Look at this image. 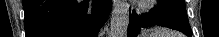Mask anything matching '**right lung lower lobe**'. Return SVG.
<instances>
[{"mask_svg": "<svg viewBox=\"0 0 219 37\" xmlns=\"http://www.w3.org/2000/svg\"><path fill=\"white\" fill-rule=\"evenodd\" d=\"M109 0H23L25 37H97Z\"/></svg>", "mask_w": 219, "mask_h": 37, "instance_id": "obj_1", "label": "right lung lower lobe"}]
</instances>
